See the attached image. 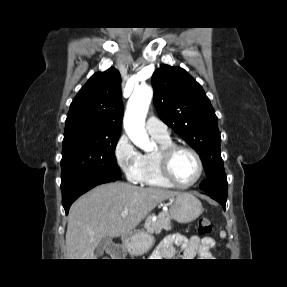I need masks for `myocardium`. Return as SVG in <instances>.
<instances>
[{
  "instance_id": "1",
  "label": "myocardium",
  "mask_w": 287,
  "mask_h": 287,
  "mask_svg": "<svg viewBox=\"0 0 287 287\" xmlns=\"http://www.w3.org/2000/svg\"><path fill=\"white\" fill-rule=\"evenodd\" d=\"M178 151L190 152L195 157L198 163V174L196 178L190 183L184 184V183L179 182L173 174L172 165H171L172 159ZM157 157H158L159 166H160L163 176L165 177L166 180H168L170 183H172L176 187L190 188L196 185L200 181L203 175V172H204L203 160L200 154L194 148L190 146L180 145V144H171V145L160 148L158 150Z\"/></svg>"
}]
</instances>
